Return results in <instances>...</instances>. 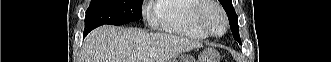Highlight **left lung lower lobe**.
<instances>
[{"mask_svg": "<svg viewBox=\"0 0 331 62\" xmlns=\"http://www.w3.org/2000/svg\"><path fill=\"white\" fill-rule=\"evenodd\" d=\"M237 41H239L240 42V37H239V35L238 36H236V38H235Z\"/></svg>", "mask_w": 331, "mask_h": 62, "instance_id": "0a47b994", "label": "left lung lower lobe"}]
</instances>
